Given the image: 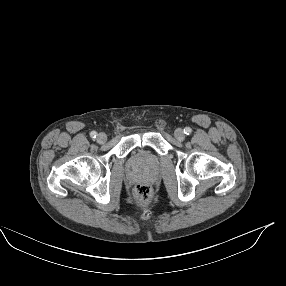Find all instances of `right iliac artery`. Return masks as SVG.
Listing matches in <instances>:
<instances>
[{
	"mask_svg": "<svg viewBox=\"0 0 286 286\" xmlns=\"http://www.w3.org/2000/svg\"><path fill=\"white\" fill-rule=\"evenodd\" d=\"M90 136H91L92 138H96L97 133H96L95 131H92V132L90 133Z\"/></svg>",
	"mask_w": 286,
	"mask_h": 286,
	"instance_id": "82829eb1",
	"label": "right iliac artery"
}]
</instances>
